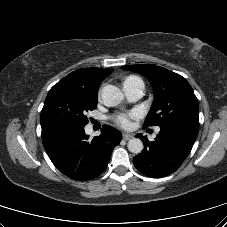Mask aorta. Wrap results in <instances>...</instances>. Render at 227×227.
Listing matches in <instances>:
<instances>
[{
    "mask_svg": "<svg viewBox=\"0 0 227 227\" xmlns=\"http://www.w3.org/2000/svg\"><path fill=\"white\" fill-rule=\"evenodd\" d=\"M102 100L108 107H113L122 102L124 95L122 91L114 85H106L101 92ZM143 142L139 138H132L128 142V150L139 154L143 151Z\"/></svg>",
    "mask_w": 227,
    "mask_h": 227,
    "instance_id": "aorta-1",
    "label": "aorta"
}]
</instances>
